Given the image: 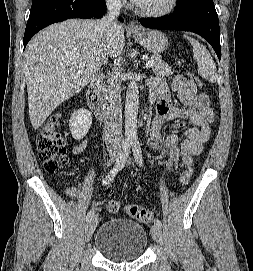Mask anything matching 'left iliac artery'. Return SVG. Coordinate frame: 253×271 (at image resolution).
Segmentation results:
<instances>
[{
  "label": "left iliac artery",
  "instance_id": "44dca946",
  "mask_svg": "<svg viewBox=\"0 0 253 271\" xmlns=\"http://www.w3.org/2000/svg\"><path fill=\"white\" fill-rule=\"evenodd\" d=\"M131 145H132V151H133L134 158H135L137 164L140 167H142L143 166V155H142L141 145L138 140H132ZM154 225L161 228L162 223L159 219H155Z\"/></svg>",
  "mask_w": 253,
  "mask_h": 271
}]
</instances>
